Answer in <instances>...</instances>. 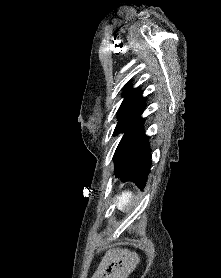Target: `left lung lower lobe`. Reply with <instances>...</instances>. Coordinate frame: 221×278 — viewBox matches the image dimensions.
I'll use <instances>...</instances> for the list:
<instances>
[{"mask_svg":"<svg viewBox=\"0 0 221 278\" xmlns=\"http://www.w3.org/2000/svg\"><path fill=\"white\" fill-rule=\"evenodd\" d=\"M142 118H139L119 143L114 154L115 176L124 182L132 181L143 188L150 171L151 151L148 137L143 132Z\"/></svg>","mask_w":221,"mask_h":278,"instance_id":"0a47b994","label":"left lung lower lobe"}]
</instances>
